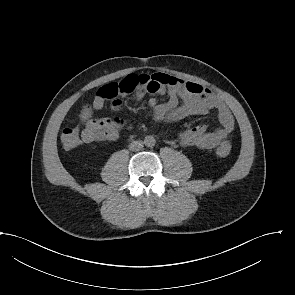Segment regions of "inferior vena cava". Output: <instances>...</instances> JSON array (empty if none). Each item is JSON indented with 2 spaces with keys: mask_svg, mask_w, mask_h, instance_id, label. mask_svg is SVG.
<instances>
[{
  "mask_svg": "<svg viewBox=\"0 0 295 295\" xmlns=\"http://www.w3.org/2000/svg\"><path fill=\"white\" fill-rule=\"evenodd\" d=\"M143 148L142 141H132L129 145V150L131 151H140Z\"/></svg>",
  "mask_w": 295,
  "mask_h": 295,
  "instance_id": "obj_1",
  "label": "inferior vena cava"
}]
</instances>
